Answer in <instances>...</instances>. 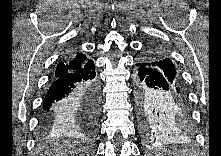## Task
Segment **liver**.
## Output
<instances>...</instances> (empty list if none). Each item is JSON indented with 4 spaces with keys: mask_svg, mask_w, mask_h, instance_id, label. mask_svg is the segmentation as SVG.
Returning <instances> with one entry per match:
<instances>
[{
    "mask_svg": "<svg viewBox=\"0 0 221 156\" xmlns=\"http://www.w3.org/2000/svg\"><path fill=\"white\" fill-rule=\"evenodd\" d=\"M41 155L53 156H83L84 148L77 141L59 140L54 141L50 146L44 145L39 150Z\"/></svg>",
    "mask_w": 221,
    "mask_h": 156,
    "instance_id": "obj_1",
    "label": "liver"
}]
</instances>
